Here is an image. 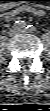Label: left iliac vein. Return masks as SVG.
Segmentation results:
<instances>
[{
    "label": "left iliac vein",
    "mask_w": 50,
    "mask_h": 111,
    "mask_svg": "<svg viewBox=\"0 0 50 111\" xmlns=\"http://www.w3.org/2000/svg\"><path fill=\"white\" fill-rule=\"evenodd\" d=\"M24 32H25L24 29H19V30H18V33H24Z\"/></svg>",
    "instance_id": "4c4485c4"
}]
</instances>
